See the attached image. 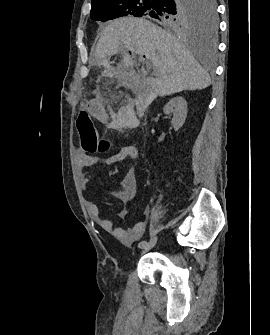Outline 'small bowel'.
<instances>
[{
	"mask_svg": "<svg viewBox=\"0 0 270 335\" xmlns=\"http://www.w3.org/2000/svg\"><path fill=\"white\" fill-rule=\"evenodd\" d=\"M93 102L89 103V107L92 106ZM93 114L96 118H103L104 114L93 110ZM138 157V150L134 145H127L122 147L117 153L110 156L107 160V164H115L126 159H136ZM98 159L93 155L79 154L77 157V169L79 171L82 183L85 185L92 177V174L88 171V168L95 165ZM124 190L120 195V201L124 204V208L120 210L117 215L121 219H126L128 215L127 206L135 199L138 184L135 168L131 167L126 171L124 176ZM87 210L90 217L94 222L102 228L104 231L114 235L123 244L130 245L138 241L145 233L146 223L138 222L133 227L128 229L118 228L114 225L111 220L105 219L100 215L99 208L92 202L87 203Z\"/></svg>",
	"mask_w": 270,
	"mask_h": 335,
	"instance_id": "c3829d8e",
	"label": "small bowel"
}]
</instances>
